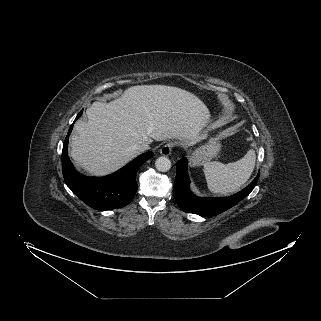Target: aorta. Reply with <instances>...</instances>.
I'll return each instance as SVG.
<instances>
[{"label": "aorta", "mask_w": 321, "mask_h": 321, "mask_svg": "<svg viewBox=\"0 0 321 321\" xmlns=\"http://www.w3.org/2000/svg\"><path fill=\"white\" fill-rule=\"evenodd\" d=\"M155 167L158 171L166 172V171L170 170V168H171V161L169 158H167L165 156H161L156 159Z\"/></svg>", "instance_id": "aorta-1"}]
</instances>
